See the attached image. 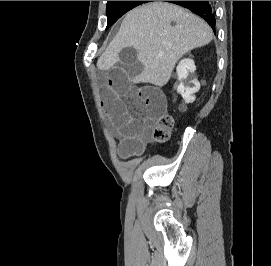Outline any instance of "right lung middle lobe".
Here are the masks:
<instances>
[{
	"label": "right lung middle lobe",
	"instance_id": "right-lung-middle-lobe-1",
	"mask_svg": "<svg viewBox=\"0 0 271 266\" xmlns=\"http://www.w3.org/2000/svg\"><path fill=\"white\" fill-rule=\"evenodd\" d=\"M147 2L150 1H108L106 6L108 19L106 30L126 12Z\"/></svg>",
	"mask_w": 271,
	"mask_h": 266
}]
</instances>
